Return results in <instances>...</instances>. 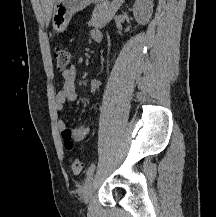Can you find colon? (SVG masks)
I'll return each mask as SVG.
<instances>
[{
  "mask_svg": "<svg viewBox=\"0 0 216 217\" xmlns=\"http://www.w3.org/2000/svg\"><path fill=\"white\" fill-rule=\"evenodd\" d=\"M53 57L57 68L60 70L67 69L71 63V52L65 47L57 46L54 49ZM64 138L66 146H71V136L67 130L64 133ZM70 165L74 174H80L83 170V165L79 159H72Z\"/></svg>",
  "mask_w": 216,
  "mask_h": 217,
  "instance_id": "1",
  "label": "colon"
}]
</instances>
